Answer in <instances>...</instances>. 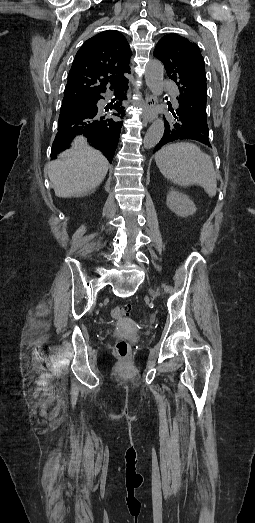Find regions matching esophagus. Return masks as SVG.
I'll list each match as a JSON object with an SVG mask.
<instances>
[{"label":"esophagus","instance_id":"1","mask_svg":"<svg viewBox=\"0 0 255 523\" xmlns=\"http://www.w3.org/2000/svg\"><path fill=\"white\" fill-rule=\"evenodd\" d=\"M156 99L154 98L153 95H151L150 93H146L145 95V107H144V117L145 119L147 120V122H152L156 116H157V112H156Z\"/></svg>","mask_w":255,"mask_h":523}]
</instances>
